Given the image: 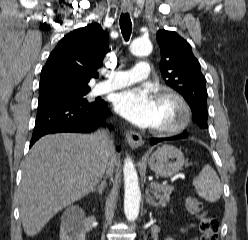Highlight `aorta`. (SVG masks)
Masks as SVG:
<instances>
[{
	"label": "aorta",
	"mask_w": 248,
	"mask_h": 240,
	"mask_svg": "<svg viewBox=\"0 0 248 240\" xmlns=\"http://www.w3.org/2000/svg\"><path fill=\"white\" fill-rule=\"evenodd\" d=\"M130 51L135 56H147L152 51V44L148 39L139 38L132 41ZM124 212L129 221H134L139 215L141 192L138 175L132 160L127 157L124 161Z\"/></svg>",
	"instance_id": "1"
}]
</instances>
